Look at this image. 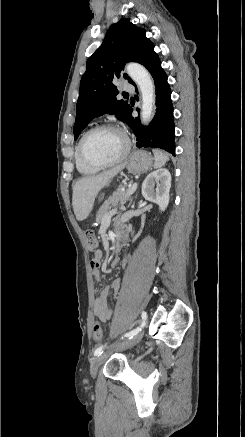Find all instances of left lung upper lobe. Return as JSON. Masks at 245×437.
I'll return each mask as SVG.
<instances>
[{
	"instance_id": "left-lung-upper-lobe-1",
	"label": "left lung upper lobe",
	"mask_w": 245,
	"mask_h": 437,
	"mask_svg": "<svg viewBox=\"0 0 245 437\" xmlns=\"http://www.w3.org/2000/svg\"><path fill=\"white\" fill-rule=\"evenodd\" d=\"M145 33V29L123 19L109 28L102 45L87 60L76 106L75 140L93 118L105 113L126 122L130 105L127 101L117 100L119 91L112 82L123 76L133 83L123 73L124 65L130 61L141 63L144 55L154 48Z\"/></svg>"
}]
</instances>
